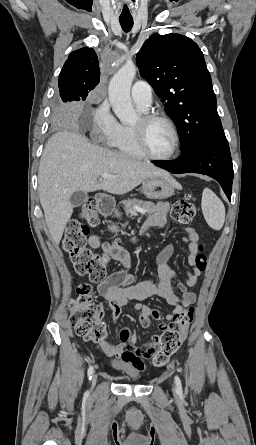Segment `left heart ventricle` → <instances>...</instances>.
Returning a JSON list of instances; mask_svg holds the SVG:
<instances>
[{"mask_svg":"<svg viewBox=\"0 0 256 445\" xmlns=\"http://www.w3.org/2000/svg\"><path fill=\"white\" fill-rule=\"evenodd\" d=\"M141 124V118H139L133 127H137ZM145 139L149 150L157 156L168 155L174 145V136L170 127L161 121H155L148 124L145 127Z\"/></svg>","mask_w":256,"mask_h":445,"instance_id":"left-heart-ventricle-1","label":"left heart ventricle"}]
</instances>
